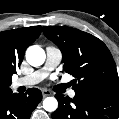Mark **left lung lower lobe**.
<instances>
[{
	"label": "left lung lower lobe",
	"instance_id": "left-lung-lower-lobe-1",
	"mask_svg": "<svg viewBox=\"0 0 119 119\" xmlns=\"http://www.w3.org/2000/svg\"><path fill=\"white\" fill-rule=\"evenodd\" d=\"M58 109L52 119H118L119 98L75 92L73 99L56 94Z\"/></svg>",
	"mask_w": 119,
	"mask_h": 119
}]
</instances>
